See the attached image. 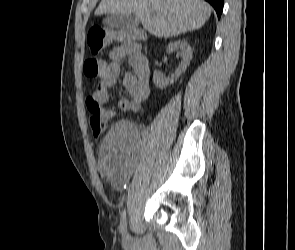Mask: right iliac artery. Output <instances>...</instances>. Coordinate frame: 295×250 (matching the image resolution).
Returning a JSON list of instances; mask_svg holds the SVG:
<instances>
[{
	"label": "right iliac artery",
	"mask_w": 295,
	"mask_h": 250,
	"mask_svg": "<svg viewBox=\"0 0 295 250\" xmlns=\"http://www.w3.org/2000/svg\"><path fill=\"white\" fill-rule=\"evenodd\" d=\"M120 230H121V233L124 236V238L128 239L127 223H126V210H124L121 214Z\"/></svg>",
	"instance_id": "82829eb1"
}]
</instances>
